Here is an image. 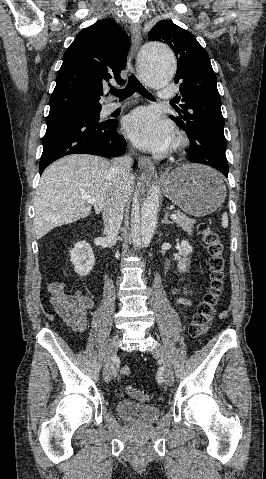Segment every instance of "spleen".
<instances>
[{"label":"spleen","mask_w":266,"mask_h":479,"mask_svg":"<svg viewBox=\"0 0 266 479\" xmlns=\"http://www.w3.org/2000/svg\"><path fill=\"white\" fill-rule=\"evenodd\" d=\"M221 224L224 228L228 227V216H227L226 212H224L223 215H222V223Z\"/></svg>","instance_id":"1"}]
</instances>
